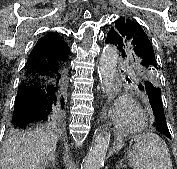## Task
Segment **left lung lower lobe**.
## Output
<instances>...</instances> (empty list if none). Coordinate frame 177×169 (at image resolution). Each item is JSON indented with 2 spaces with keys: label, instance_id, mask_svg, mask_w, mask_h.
Segmentation results:
<instances>
[{
  "label": "left lung lower lobe",
  "instance_id": "left-lung-lower-lobe-1",
  "mask_svg": "<svg viewBox=\"0 0 177 169\" xmlns=\"http://www.w3.org/2000/svg\"><path fill=\"white\" fill-rule=\"evenodd\" d=\"M140 89L148 95L149 102L155 117L153 124L154 129L171 139V134L167 127L166 118L164 115L161 99V89L146 79L140 83Z\"/></svg>",
  "mask_w": 177,
  "mask_h": 169
}]
</instances>
